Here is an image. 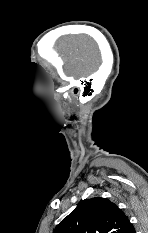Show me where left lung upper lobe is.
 Listing matches in <instances>:
<instances>
[{
  "mask_svg": "<svg viewBox=\"0 0 148 233\" xmlns=\"http://www.w3.org/2000/svg\"><path fill=\"white\" fill-rule=\"evenodd\" d=\"M133 225L124 212L108 199L83 200L53 233H128Z\"/></svg>",
  "mask_w": 148,
  "mask_h": 233,
  "instance_id": "5c2ea615",
  "label": "left lung upper lobe"
}]
</instances>
